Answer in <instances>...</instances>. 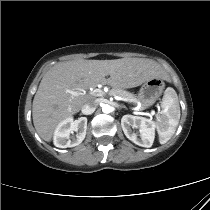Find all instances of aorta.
<instances>
[{"mask_svg": "<svg viewBox=\"0 0 210 210\" xmlns=\"http://www.w3.org/2000/svg\"><path fill=\"white\" fill-rule=\"evenodd\" d=\"M102 111L104 113H110L112 111V107L108 104H105V105L102 106Z\"/></svg>", "mask_w": 210, "mask_h": 210, "instance_id": "1", "label": "aorta"}]
</instances>
